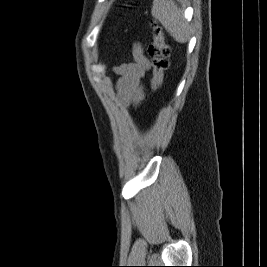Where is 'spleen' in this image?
<instances>
[{
  "label": "spleen",
  "mask_w": 267,
  "mask_h": 267,
  "mask_svg": "<svg viewBox=\"0 0 267 267\" xmlns=\"http://www.w3.org/2000/svg\"><path fill=\"white\" fill-rule=\"evenodd\" d=\"M151 14L177 42L185 43L189 39V24L183 19V11L172 0H154Z\"/></svg>",
  "instance_id": "1"
}]
</instances>
